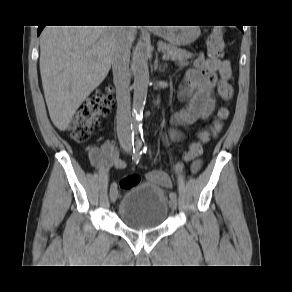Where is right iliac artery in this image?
I'll use <instances>...</instances> for the list:
<instances>
[{"instance_id": "right-iliac-artery-1", "label": "right iliac artery", "mask_w": 292, "mask_h": 292, "mask_svg": "<svg viewBox=\"0 0 292 292\" xmlns=\"http://www.w3.org/2000/svg\"><path fill=\"white\" fill-rule=\"evenodd\" d=\"M141 154H142V150L140 148H135L133 150V161H134V163H138L139 162V160L141 158ZM116 188H117L116 183H112L110 189L114 190Z\"/></svg>"}]
</instances>
